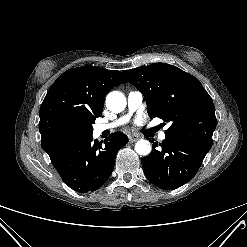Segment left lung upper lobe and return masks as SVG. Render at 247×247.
<instances>
[{"instance_id": "left-lung-upper-lobe-1", "label": "left lung upper lobe", "mask_w": 247, "mask_h": 247, "mask_svg": "<svg viewBox=\"0 0 247 247\" xmlns=\"http://www.w3.org/2000/svg\"><path fill=\"white\" fill-rule=\"evenodd\" d=\"M123 73L143 93L149 116L171 123L166 137L188 140L210 150L216 128L215 107L195 77L166 63Z\"/></svg>"}]
</instances>
